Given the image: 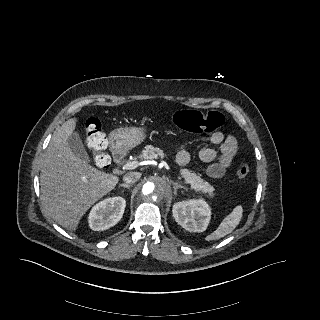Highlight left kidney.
<instances>
[{"mask_svg": "<svg viewBox=\"0 0 320 320\" xmlns=\"http://www.w3.org/2000/svg\"><path fill=\"white\" fill-rule=\"evenodd\" d=\"M172 212L176 222L190 232L205 231L211 215L209 205L202 199L177 202Z\"/></svg>", "mask_w": 320, "mask_h": 320, "instance_id": "obj_1", "label": "left kidney"}]
</instances>
